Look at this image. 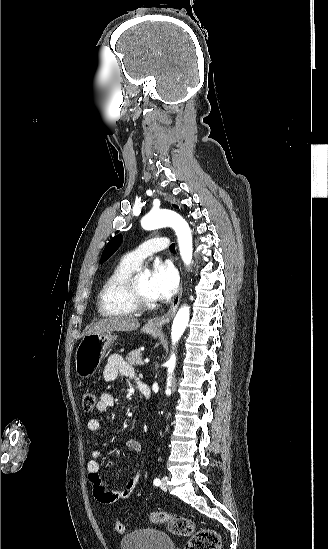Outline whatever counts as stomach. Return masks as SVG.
Returning <instances> with one entry per match:
<instances>
[{"mask_svg":"<svg viewBox=\"0 0 328 549\" xmlns=\"http://www.w3.org/2000/svg\"><path fill=\"white\" fill-rule=\"evenodd\" d=\"M142 333L147 335H156L157 331L153 325H145L141 329ZM118 335L115 333H92L85 335L75 353V367L78 377L89 379L95 375L107 349L111 347L114 341H117Z\"/></svg>","mask_w":328,"mask_h":549,"instance_id":"obj_1","label":"stomach"}]
</instances>
